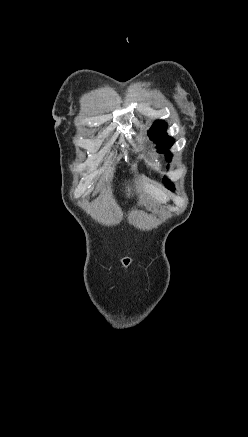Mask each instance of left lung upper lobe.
<instances>
[{
    "mask_svg": "<svg viewBox=\"0 0 248 437\" xmlns=\"http://www.w3.org/2000/svg\"><path fill=\"white\" fill-rule=\"evenodd\" d=\"M166 127V123L162 121H156L152 129L148 132V135L158 145L160 152L165 153L166 160L170 161L172 154L168 151V149L173 145L174 140L167 135ZM168 182V179L164 180L165 186L170 190H174L173 184H169Z\"/></svg>",
    "mask_w": 248,
    "mask_h": 437,
    "instance_id": "left-lung-upper-lobe-1",
    "label": "left lung upper lobe"
}]
</instances>
